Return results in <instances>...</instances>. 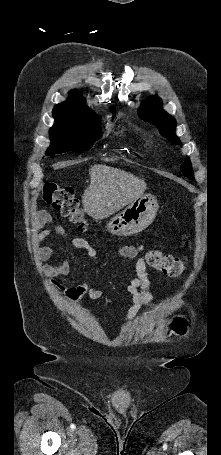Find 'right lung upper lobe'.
<instances>
[{"mask_svg":"<svg viewBox=\"0 0 221 455\" xmlns=\"http://www.w3.org/2000/svg\"><path fill=\"white\" fill-rule=\"evenodd\" d=\"M69 99L57 104L53 109L55 119L72 121H88L97 117L85 104L82 96L77 91L69 93Z\"/></svg>","mask_w":221,"mask_h":455,"instance_id":"right-lung-upper-lobe-1","label":"right lung upper lobe"}]
</instances>
